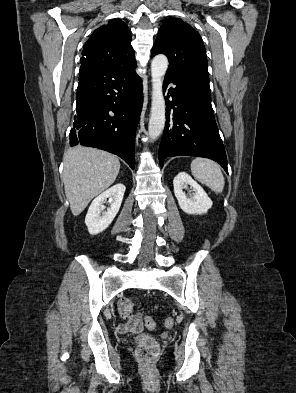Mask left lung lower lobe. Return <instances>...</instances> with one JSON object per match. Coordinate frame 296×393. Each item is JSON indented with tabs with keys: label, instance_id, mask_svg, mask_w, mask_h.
<instances>
[{
	"label": "left lung lower lobe",
	"instance_id": "1",
	"mask_svg": "<svg viewBox=\"0 0 296 393\" xmlns=\"http://www.w3.org/2000/svg\"><path fill=\"white\" fill-rule=\"evenodd\" d=\"M168 89L173 100L166 98V124L159 147V162L169 156H199L218 162L227 170V158L211 105L209 82L179 80L166 75L164 92Z\"/></svg>",
	"mask_w": 296,
	"mask_h": 393
}]
</instances>
